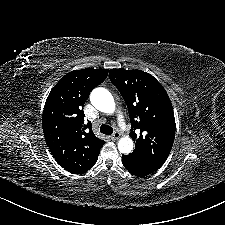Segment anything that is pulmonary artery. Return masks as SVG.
I'll use <instances>...</instances> for the list:
<instances>
[{
  "label": "pulmonary artery",
  "instance_id": "pulmonary-artery-1",
  "mask_svg": "<svg viewBox=\"0 0 225 225\" xmlns=\"http://www.w3.org/2000/svg\"><path fill=\"white\" fill-rule=\"evenodd\" d=\"M112 107H113L112 103H108L107 109H108L109 111L112 109Z\"/></svg>",
  "mask_w": 225,
  "mask_h": 225
}]
</instances>
